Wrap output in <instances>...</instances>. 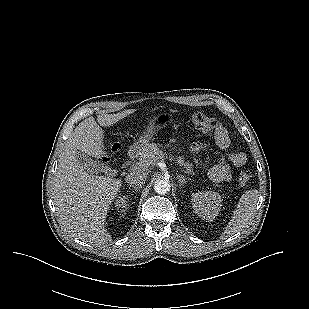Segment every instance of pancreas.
Instances as JSON below:
<instances>
[{
    "label": "pancreas",
    "mask_w": 309,
    "mask_h": 309,
    "mask_svg": "<svg viewBox=\"0 0 309 309\" xmlns=\"http://www.w3.org/2000/svg\"><path fill=\"white\" fill-rule=\"evenodd\" d=\"M164 153L157 147L155 143L147 144L141 151L139 160L144 165L148 166L154 161L163 158ZM176 163L180 166H184L186 168V173H193L192 164L185 162L184 157L179 156L176 158Z\"/></svg>",
    "instance_id": "cf45deb5"
}]
</instances>
